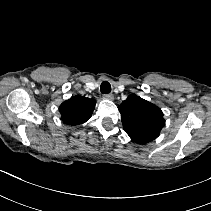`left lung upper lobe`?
Returning <instances> with one entry per match:
<instances>
[{
  "label": "left lung upper lobe",
  "instance_id": "1",
  "mask_svg": "<svg viewBox=\"0 0 211 211\" xmlns=\"http://www.w3.org/2000/svg\"><path fill=\"white\" fill-rule=\"evenodd\" d=\"M118 110L125 132L139 144L156 139L165 124L159 107L134 94L129 95Z\"/></svg>",
  "mask_w": 211,
  "mask_h": 211
}]
</instances>
